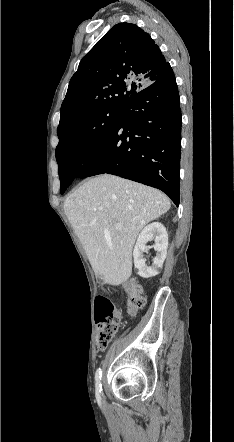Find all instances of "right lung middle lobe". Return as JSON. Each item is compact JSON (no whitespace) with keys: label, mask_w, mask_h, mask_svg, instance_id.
<instances>
[{"label":"right lung middle lobe","mask_w":234,"mask_h":442,"mask_svg":"<svg viewBox=\"0 0 234 442\" xmlns=\"http://www.w3.org/2000/svg\"><path fill=\"white\" fill-rule=\"evenodd\" d=\"M121 113V106L90 113L76 122L59 137L56 160L59 166L61 194L72 183L76 168L85 157L109 135Z\"/></svg>","instance_id":"1"}]
</instances>
